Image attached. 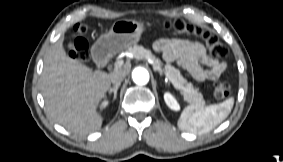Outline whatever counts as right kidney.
<instances>
[{
    "label": "right kidney",
    "instance_id": "ca27d5eb",
    "mask_svg": "<svg viewBox=\"0 0 283 162\" xmlns=\"http://www.w3.org/2000/svg\"><path fill=\"white\" fill-rule=\"evenodd\" d=\"M107 105V102H103L102 106L105 107Z\"/></svg>",
    "mask_w": 283,
    "mask_h": 162
}]
</instances>
